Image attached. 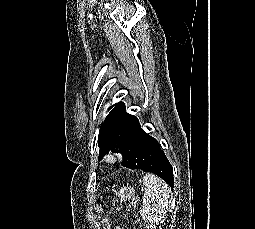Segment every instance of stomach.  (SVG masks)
Instances as JSON below:
<instances>
[{
  "label": "stomach",
  "mask_w": 255,
  "mask_h": 229,
  "mask_svg": "<svg viewBox=\"0 0 255 229\" xmlns=\"http://www.w3.org/2000/svg\"><path fill=\"white\" fill-rule=\"evenodd\" d=\"M135 194V190L133 187H123L117 193V196L121 199V201H126L127 199H131Z\"/></svg>",
  "instance_id": "1"
}]
</instances>
